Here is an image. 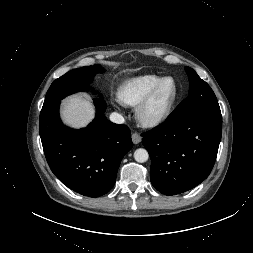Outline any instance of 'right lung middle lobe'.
Wrapping results in <instances>:
<instances>
[{"label":"right lung middle lobe","instance_id":"1","mask_svg":"<svg viewBox=\"0 0 253 253\" xmlns=\"http://www.w3.org/2000/svg\"><path fill=\"white\" fill-rule=\"evenodd\" d=\"M100 69L99 65L81 67L71 70L56 79L50 86L41 111H44L60 101L66 96L78 91L87 90ZM101 97V95H100Z\"/></svg>","mask_w":253,"mask_h":253}]
</instances>
